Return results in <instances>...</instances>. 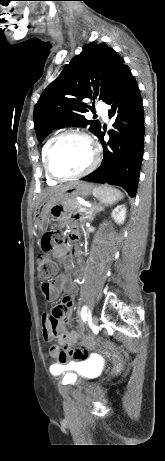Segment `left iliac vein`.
<instances>
[{
    "label": "left iliac vein",
    "instance_id": "1",
    "mask_svg": "<svg viewBox=\"0 0 165 461\" xmlns=\"http://www.w3.org/2000/svg\"><path fill=\"white\" fill-rule=\"evenodd\" d=\"M91 322H92V325L96 327L98 325V322H99L98 317L94 315L92 317Z\"/></svg>",
    "mask_w": 165,
    "mask_h": 461
}]
</instances>
